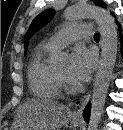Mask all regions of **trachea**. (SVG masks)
I'll use <instances>...</instances> for the list:
<instances>
[{
	"label": "trachea",
	"instance_id": "1",
	"mask_svg": "<svg viewBox=\"0 0 123 130\" xmlns=\"http://www.w3.org/2000/svg\"><path fill=\"white\" fill-rule=\"evenodd\" d=\"M94 39L95 40H100V34L99 33H95L94 34Z\"/></svg>",
	"mask_w": 123,
	"mask_h": 130
}]
</instances>
